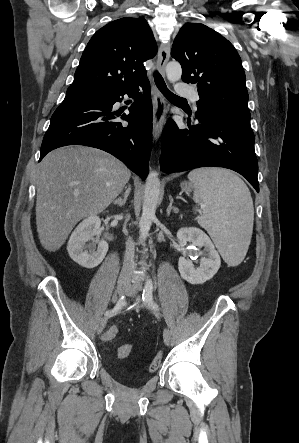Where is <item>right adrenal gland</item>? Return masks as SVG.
Instances as JSON below:
<instances>
[{
    "label": "right adrenal gland",
    "mask_w": 299,
    "mask_h": 443,
    "mask_svg": "<svg viewBox=\"0 0 299 443\" xmlns=\"http://www.w3.org/2000/svg\"><path fill=\"white\" fill-rule=\"evenodd\" d=\"M130 191H131L130 186L126 187L123 196L122 197H118L117 199H115L113 201V204H115V205H117L119 207L124 206L126 201H127L128 196L130 194Z\"/></svg>",
    "instance_id": "2a0ac1e0"
}]
</instances>
